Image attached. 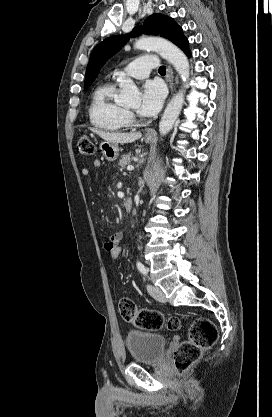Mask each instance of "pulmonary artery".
Returning a JSON list of instances; mask_svg holds the SVG:
<instances>
[{"mask_svg": "<svg viewBox=\"0 0 272 417\" xmlns=\"http://www.w3.org/2000/svg\"><path fill=\"white\" fill-rule=\"evenodd\" d=\"M158 67L157 57L154 55H143L129 63L122 69L114 71V77L120 79L126 76L135 79H144L148 77L150 71Z\"/></svg>", "mask_w": 272, "mask_h": 417, "instance_id": "1", "label": "pulmonary artery"}]
</instances>
